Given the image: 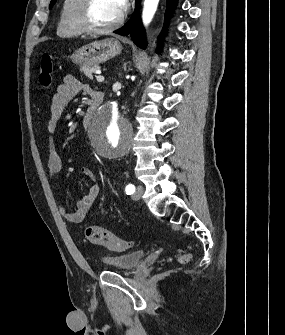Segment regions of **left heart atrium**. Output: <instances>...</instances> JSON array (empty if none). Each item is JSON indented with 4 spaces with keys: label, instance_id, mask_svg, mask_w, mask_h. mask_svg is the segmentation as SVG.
Wrapping results in <instances>:
<instances>
[{
    "label": "left heart atrium",
    "instance_id": "1",
    "mask_svg": "<svg viewBox=\"0 0 285 335\" xmlns=\"http://www.w3.org/2000/svg\"><path fill=\"white\" fill-rule=\"evenodd\" d=\"M119 11H120V13L123 12V3H121V5L119 7Z\"/></svg>",
    "mask_w": 285,
    "mask_h": 335
}]
</instances>
